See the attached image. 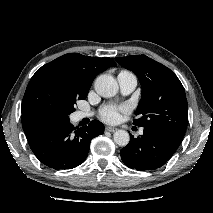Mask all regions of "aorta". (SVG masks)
<instances>
[{
  "label": "aorta",
  "mask_w": 213,
  "mask_h": 213,
  "mask_svg": "<svg viewBox=\"0 0 213 213\" xmlns=\"http://www.w3.org/2000/svg\"><path fill=\"white\" fill-rule=\"evenodd\" d=\"M96 92L105 98L113 97L118 92V83L111 75H100L96 78L94 84ZM114 142L121 146L125 147L130 141L129 133L125 130H117L113 134Z\"/></svg>",
  "instance_id": "1"
}]
</instances>
